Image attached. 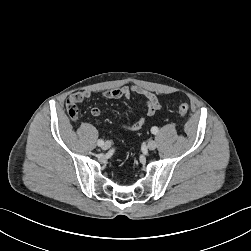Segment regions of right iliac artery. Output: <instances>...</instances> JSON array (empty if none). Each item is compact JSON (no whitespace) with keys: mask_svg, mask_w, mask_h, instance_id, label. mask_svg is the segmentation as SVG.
Masks as SVG:
<instances>
[{"mask_svg":"<svg viewBox=\"0 0 251 251\" xmlns=\"http://www.w3.org/2000/svg\"><path fill=\"white\" fill-rule=\"evenodd\" d=\"M97 144H98V146H102L104 144V141L102 139H99Z\"/></svg>","mask_w":251,"mask_h":251,"instance_id":"obj_1","label":"right iliac artery"}]
</instances>
